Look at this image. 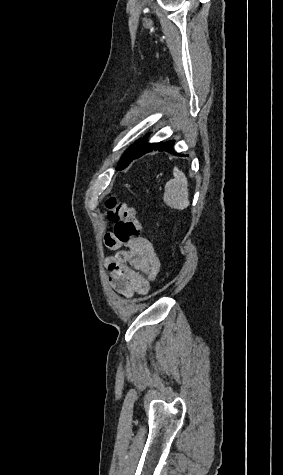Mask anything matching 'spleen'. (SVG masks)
<instances>
[{
    "label": "spleen",
    "mask_w": 283,
    "mask_h": 475,
    "mask_svg": "<svg viewBox=\"0 0 283 475\" xmlns=\"http://www.w3.org/2000/svg\"><path fill=\"white\" fill-rule=\"evenodd\" d=\"M173 176V180H169L165 186L163 200L167 206L174 210H185L190 204L188 180L178 168H174Z\"/></svg>",
    "instance_id": "1"
}]
</instances>
